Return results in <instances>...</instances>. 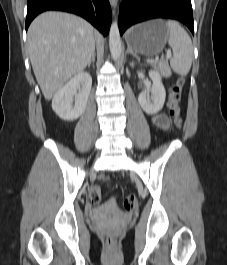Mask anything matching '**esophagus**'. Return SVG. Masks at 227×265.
Returning a JSON list of instances; mask_svg holds the SVG:
<instances>
[{
    "label": "esophagus",
    "mask_w": 227,
    "mask_h": 265,
    "mask_svg": "<svg viewBox=\"0 0 227 265\" xmlns=\"http://www.w3.org/2000/svg\"><path fill=\"white\" fill-rule=\"evenodd\" d=\"M109 2H110V5L113 8V11H115L117 6H118V0H109Z\"/></svg>",
    "instance_id": "esophagus-1"
}]
</instances>
